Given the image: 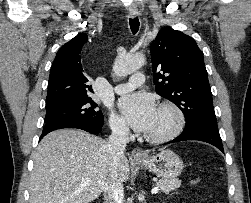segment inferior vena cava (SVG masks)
I'll return each instance as SVG.
<instances>
[{"label": "inferior vena cava", "mask_w": 251, "mask_h": 203, "mask_svg": "<svg viewBox=\"0 0 251 203\" xmlns=\"http://www.w3.org/2000/svg\"><path fill=\"white\" fill-rule=\"evenodd\" d=\"M107 150L111 155L112 165L117 168L129 142V128L123 122H116L111 126ZM105 203H123V182L116 175H111L104 185Z\"/></svg>", "instance_id": "1"}]
</instances>
